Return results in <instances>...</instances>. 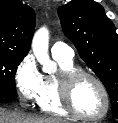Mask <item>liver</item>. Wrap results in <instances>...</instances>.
Masks as SVG:
<instances>
[{
	"instance_id": "obj_1",
	"label": "liver",
	"mask_w": 118,
	"mask_h": 123,
	"mask_svg": "<svg viewBox=\"0 0 118 123\" xmlns=\"http://www.w3.org/2000/svg\"><path fill=\"white\" fill-rule=\"evenodd\" d=\"M0 123H67L59 118L41 117L0 108Z\"/></svg>"
}]
</instances>
